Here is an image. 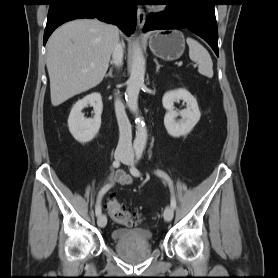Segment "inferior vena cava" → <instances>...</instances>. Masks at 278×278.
Wrapping results in <instances>:
<instances>
[{
    "label": "inferior vena cava",
    "instance_id": "1",
    "mask_svg": "<svg viewBox=\"0 0 278 278\" xmlns=\"http://www.w3.org/2000/svg\"><path fill=\"white\" fill-rule=\"evenodd\" d=\"M123 61V46L117 42L112 51V63L116 66H121ZM115 113L119 126V142L117 152L125 154H133L132 148V130L131 124L125 112L124 105L119 98L115 100Z\"/></svg>",
    "mask_w": 278,
    "mask_h": 278
}]
</instances>
